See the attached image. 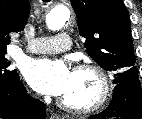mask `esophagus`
Listing matches in <instances>:
<instances>
[{"instance_id": "34e87169", "label": "esophagus", "mask_w": 142, "mask_h": 119, "mask_svg": "<svg viewBox=\"0 0 142 119\" xmlns=\"http://www.w3.org/2000/svg\"><path fill=\"white\" fill-rule=\"evenodd\" d=\"M51 119H60V117L57 114H52Z\"/></svg>"}]
</instances>
